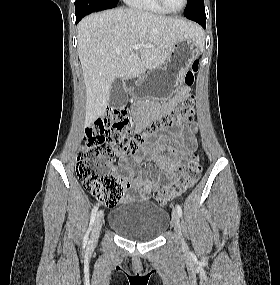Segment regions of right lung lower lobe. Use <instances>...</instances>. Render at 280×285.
<instances>
[{"mask_svg": "<svg viewBox=\"0 0 280 285\" xmlns=\"http://www.w3.org/2000/svg\"><path fill=\"white\" fill-rule=\"evenodd\" d=\"M84 16H76V24L83 18Z\"/></svg>", "mask_w": 280, "mask_h": 285, "instance_id": "obj_1", "label": "right lung lower lobe"}]
</instances>
